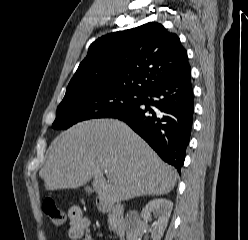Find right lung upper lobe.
<instances>
[{"label":"right lung upper lobe","mask_w":248,"mask_h":240,"mask_svg":"<svg viewBox=\"0 0 248 240\" xmlns=\"http://www.w3.org/2000/svg\"><path fill=\"white\" fill-rule=\"evenodd\" d=\"M190 71L187 52L175 33L149 22L94 41L67 90L122 89L146 93Z\"/></svg>","instance_id":"cb5924a9"}]
</instances>
